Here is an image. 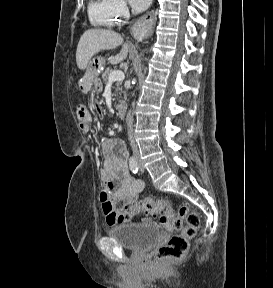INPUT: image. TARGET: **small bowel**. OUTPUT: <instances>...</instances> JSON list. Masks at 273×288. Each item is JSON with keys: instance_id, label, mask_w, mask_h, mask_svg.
<instances>
[{"instance_id": "small-bowel-1", "label": "small bowel", "mask_w": 273, "mask_h": 288, "mask_svg": "<svg viewBox=\"0 0 273 288\" xmlns=\"http://www.w3.org/2000/svg\"><path fill=\"white\" fill-rule=\"evenodd\" d=\"M101 115V110L96 111ZM80 129L83 132L91 130L92 116L81 108L78 112ZM102 153L104 156L100 178L104 188L100 192L103 213L109 226H118L129 223L142 211L131 208L135 199L144 189L141 180L133 179L127 164V151L124 143L116 138L102 140Z\"/></svg>"}]
</instances>
